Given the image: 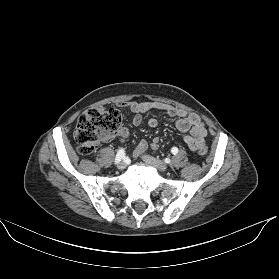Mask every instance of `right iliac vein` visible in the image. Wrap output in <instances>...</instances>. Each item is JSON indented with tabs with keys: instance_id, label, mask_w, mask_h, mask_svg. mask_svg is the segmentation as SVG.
Masks as SVG:
<instances>
[{
	"instance_id": "1",
	"label": "right iliac vein",
	"mask_w": 279,
	"mask_h": 279,
	"mask_svg": "<svg viewBox=\"0 0 279 279\" xmlns=\"http://www.w3.org/2000/svg\"><path fill=\"white\" fill-rule=\"evenodd\" d=\"M125 167H126V163H125L124 161L118 162L117 168H118L119 170H123V169H125Z\"/></svg>"
}]
</instances>
